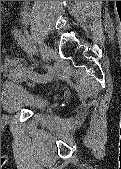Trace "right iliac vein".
Wrapping results in <instances>:
<instances>
[{
  "label": "right iliac vein",
  "instance_id": "1",
  "mask_svg": "<svg viewBox=\"0 0 121 169\" xmlns=\"http://www.w3.org/2000/svg\"><path fill=\"white\" fill-rule=\"evenodd\" d=\"M40 52H41L44 62H47L51 55V49L44 42H40ZM51 77H52V74L48 73V80L51 79Z\"/></svg>",
  "mask_w": 121,
  "mask_h": 169
}]
</instances>
